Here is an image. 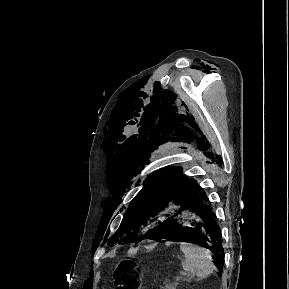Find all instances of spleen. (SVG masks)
<instances>
[{"label": "spleen", "mask_w": 289, "mask_h": 289, "mask_svg": "<svg viewBox=\"0 0 289 289\" xmlns=\"http://www.w3.org/2000/svg\"><path fill=\"white\" fill-rule=\"evenodd\" d=\"M180 250L185 258L181 263L185 272L194 274L198 280H202L213 273L215 265L207 249L195 244L181 242Z\"/></svg>", "instance_id": "3e777b00"}]
</instances>
